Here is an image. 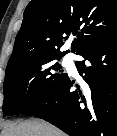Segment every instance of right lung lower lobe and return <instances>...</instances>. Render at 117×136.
Instances as JSON below:
<instances>
[{"label": "right lung lower lobe", "instance_id": "right-lung-lower-lobe-1", "mask_svg": "<svg viewBox=\"0 0 117 136\" xmlns=\"http://www.w3.org/2000/svg\"><path fill=\"white\" fill-rule=\"evenodd\" d=\"M79 55L87 60L75 62L84 84L67 76L16 114L42 118L70 136H117V31Z\"/></svg>", "mask_w": 117, "mask_h": 136}]
</instances>
